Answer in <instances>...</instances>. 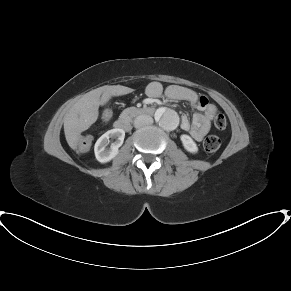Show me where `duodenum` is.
I'll list each match as a JSON object with an SVG mask.
<instances>
[{"mask_svg": "<svg viewBox=\"0 0 291 291\" xmlns=\"http://www.w3.org/2000/svg\"><path fill=\"white\" fill-rule=\"evenodd\" d=\"M154 113H155V109L151 107L135 109L133 111L128 112L126 115L120 117L115 123V128L118 131L126 132L130 128V122H129L130 115L150 116V115H153Z\"/></svg>", "mask_w": 291, "mask_h": 291, "instance_id": "obj_1", "label": "duodenum"}]
</instances>
